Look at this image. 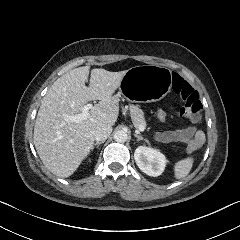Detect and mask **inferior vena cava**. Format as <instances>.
<instances>
[{
    "label": "inferior vena cava",
    "mask_w": 240,
    "mask_h": 240,
    "mask_svg": "<svg viewBox=\"0 0 240 240\" xmlns=\"http://www.w3.org/2000/svg\"><path fill=\"white\" fill-rule=\"evenodd\" d=\"M113 128L111 125H103L95 130L94 139L96 141H105L111 134Z\"/></svg>",
    "instance_id": "602c4592"
}]
</instances>
